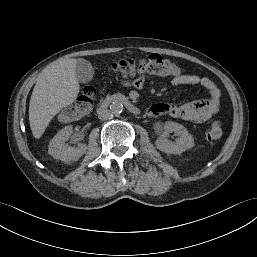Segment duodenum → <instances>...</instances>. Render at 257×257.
<instances>
[{
  "mask_svg": "<svg viewBox=\"0 0 257 257\" xmlns=\"http://www.w3.org/2000/svg\"><path fill=\"white\" fill-rule=\"evenodd\" d=\"M114 102H120L133 114H139V108L126 96L122 94H115L103 99L99 104V109H105Z\"/></svg>",
  "mask_w": 257,
  "mask_h": 257,
  "instance_id": "duodenum-1",
  "label": "duodenum"
}]
</instances>
